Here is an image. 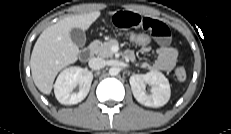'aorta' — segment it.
<instances>
[{
  "mask_svg": "<svg viewBox=\"0 0 231 134\" xmlns=\"http://www.w3.org/2000/svg\"><path fill=\"white\" fill-rule=\"evenodd\" d=\"M118 73H119V69L117 67H111L109 69V74L111 76H116V75H118Z\"/></svg>",
  "mask_w": 231,
  "mask_h": 134,
  "instance_id": "762f6f07",
  "label": "aorta"
}]
</instances>
